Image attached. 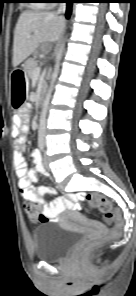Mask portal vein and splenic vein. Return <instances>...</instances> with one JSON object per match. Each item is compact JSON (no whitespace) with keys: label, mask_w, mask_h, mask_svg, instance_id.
Returning <instances> with one entry per match:
<instances>
[{"label":"portal vein and splenic vein","mask_w":136,"mask_h":296,"mask_svg":"<svg viewBox=\"0 0 136 296\" xmlns=\"http://www.w3.org/2000/svg\"><path fill=\"white\" fill-rule=\"evenodd\" d=\"M27 37H31V34H27ZM40 67H36L34 70H33V76H39L40 74Z\"/></svg>","instance_id":"portal-vein-and-splenic-vein-1"}]
</instances>
